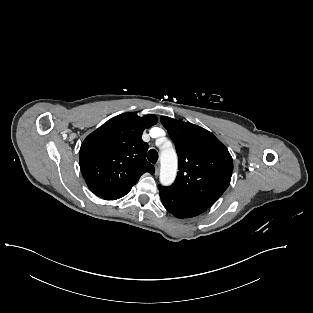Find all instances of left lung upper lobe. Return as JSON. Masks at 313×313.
Here are the masks:
<instances>
[{
    "label": "left lung upper lobe",
    "mask_w": 313,
    "mask_h": 313,
    "mask_svg": "<svg viewBox=\"0 0 313 313\" xmlns=\"http://www.w3.org/2000/svg\"><path fill=\"white\" fill-rule=\"evenodd\" d=\"M161 123L175 143L178 174L169 194L204 208L211 207L230 184L233 160L227 148L206 129L170 117Z\"/></svg>",
    "instance_id": "obj_1"
}]
</instances>
